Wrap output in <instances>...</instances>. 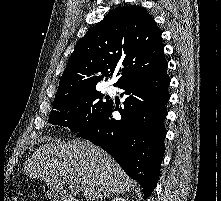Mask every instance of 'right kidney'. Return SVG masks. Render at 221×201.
Returning <instances> with one entry per match:
<instances>
[{"label": "right kidney", "mask_w": 221, "mask_h": 201, "mask_svg": "<svg viewBox=\"0 0 221 201\" xmlns=\"http://www.w3.org/2000/svg\"><path fill=\"white\" fill-rule=\"evenodd\" d=\"M112 201H126V200L121 197H116V198L112 199Z\"/></svg>", "instance_id": "obj_1"}]
</instances>
